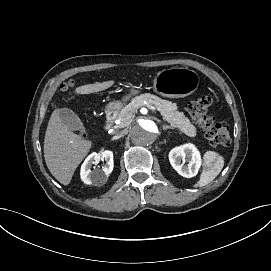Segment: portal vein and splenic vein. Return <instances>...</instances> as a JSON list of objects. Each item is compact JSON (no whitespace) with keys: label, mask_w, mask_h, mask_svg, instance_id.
<instances>
[{"label":"portal vein and splenic vein","mask_w":271,"mask_h":271,"mask_svg":"<svg viewBox=\"0 0 271 271\" xmlns=\"http://www.w3.org/2000/svg\"><path fill=\"white\" fill-rule=\"evenodd\" d=\"M144 107H148V108H150L152 111H156V108L153 107V106L150 105V104H144Z\"/></svg>","instance_id":"1"}]
</instances>
